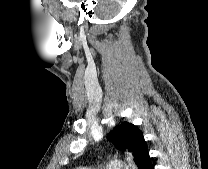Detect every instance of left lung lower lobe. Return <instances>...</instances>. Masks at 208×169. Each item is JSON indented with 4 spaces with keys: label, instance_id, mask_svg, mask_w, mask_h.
<instances>
[{
    "label": "left lung lower lobe",
    "instance_id": "obj_1",
    "mask_svg": "<svg viewBox=\"0 0 208 169\" xmlns=\"http://www.w3.org/2000/svg\"><path fill=\"white\" fill-rule=\"evenodd\" d=\"M137 166H138V169H154V165L151 162V158L149 156L148 149L145 150L141 154V156L137 162Z\"/></svg>",
    "mask_w": 208,
    "mask_h": 169
}]
</instances>
